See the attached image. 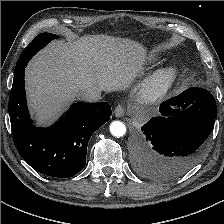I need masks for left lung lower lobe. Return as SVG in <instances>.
Segmentation results:
<instances>
[{
  "label": "left lung lower lobe",
  "mask_w": 224,
  "mask_h": 224,
  "mask_svg": "<svg viewBox=\"0 0 224 224\" xmlns=\"http://www.w3.org/2000/svg\"><path fill=\"white\" fill-rule=\"evenodd\" d=\"M216 102L206 89L189 88L160 105V116L141 127L136 146V170L167 180L195 165L214 128Z\"/></svg>",
  "instance_id": "0a47b994"
}]
</instances>
